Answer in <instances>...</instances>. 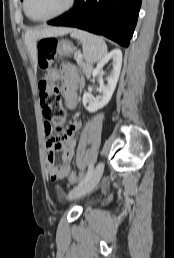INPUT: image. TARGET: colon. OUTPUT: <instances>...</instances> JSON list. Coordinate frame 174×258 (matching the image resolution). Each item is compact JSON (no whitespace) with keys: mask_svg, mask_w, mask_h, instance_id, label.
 <instances>
[{"mask_svg":"<svg viewBox=\"0 0 174 258\" xmlns=\"http://www.w3.org/2000/svg\"><path fill=\"white\" fill-rule=\"evenodd\" d=\"M56 46L57 41L52 38H45L38 42V59L42 68L46 69L52 63L56 53ZM39 90L40 104L46 121L51 125L52 131L57 133V136L64 138L63 125L67 117V110L60 101V88L46 81H41ZM67 177L71 183H75L79 179L75 172H70Z\"/></svg>","mask_w":174,"mask_h":258,"instance_id":"5ec220e1","label":"colon"}]
</instances>
